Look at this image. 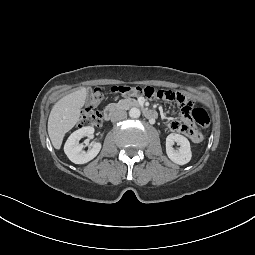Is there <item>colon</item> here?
Returning <instances> with one entry per match:
<instances>
[{
  "label": "colon",
  "mask_w": 255,
  "mask_h": 255,
  "mask_svg": "<svg viewBox=\"0 0 255 255\" xmlns=\"http://www.w3.org/2000/svg\"><path fill=\"white\" fill-rule=\"evenodd\" d=\"M111 91L116 95H139L143 94L148 98H163L170 101L178 102V105L182 108L184 117L190 122L194 121L197 125L201 127H206L210 123L209 114L202 108H192L193 100L191 96H186L181 94L179 91L171 92L162 89H155L153 87H140V86H114ZM103 91L100 88H95L93 90L91 100L89 105L83 111L79 127H95L99 126L101 123V115L97 108L103 101ZM185 134L193 142H201L204 139V135L200 129L196 126L189 125L185 129Z\"/></svg>",
  "instance_id": "5ec220e1"
}]
</instances>
